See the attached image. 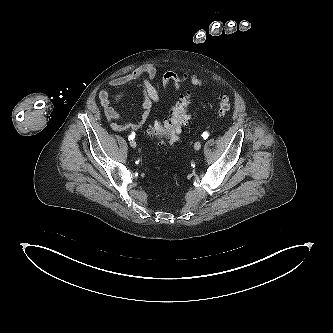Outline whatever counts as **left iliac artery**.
Here are the masks:
<instances>
[{
    "label": "left iliac artery",
    "instance_id": "44dca946",
    "mask_svg": "<svg viewBox=\"0 0 333 333\" xmlns=\"http://www.w3.org/2000/svg\"><path fill=\"white\" fill-rule=\"evenodd\" d=\"M209 136L208 132H203L202 137L203 139H207Z\"/></svg>",
    "mask_w": 333,
    "mask_h": 333
}]
</instances>
